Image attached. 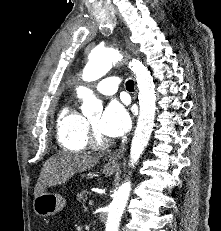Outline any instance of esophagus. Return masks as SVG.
<instances>
[{
  "mask_svg": "<svg viewBox=\"0 0 221 231\" xmlns=\"http://www.w3.org/2000/svg\"><path fill=\"white\" fill-rule=\"evenodd\" d=\"M109 165L110 166H116V163L113 161V162H110Z\"/></svg>",
  "mask_w": 221,
  "mask_h": 231,
  "instance_id": "obj_1",
  "label": "esophagus"
}]
</instances>
